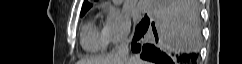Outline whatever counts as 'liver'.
<instances>
[{
  "mask_svg": "<svg viewBox=\"0 0 242 64\" xmlns=\"http://www.w3.org/2000/svg\"><path fill=\"white\" fill-rule=\"evenodd\" d=\"M179 28L183 30L187 35H192L194 41L199 42L200 29L197 28V23L187 10H183L179 13ZM77 64H150L147 61H143L138 57H130L126 61L119 58L117 54H110L107 56L99 57L96 59H82Z\"/></svg>",
  "mask_w": 242,
  "mask_h": 64,
  "instance_id": "1",
  "label": "liver"
}]
</instances>
